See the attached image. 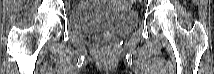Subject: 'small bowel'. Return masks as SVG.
<instances>
[{"mask_svg": "<svg viewBox=\"0 0 214 74\" xmlns=\"http://www.w3.org/2000/svg\"><path fill=\"white\" fill-rule=\"evenodd\" d=\"M123 4H127L126 2H122Z\"/></svg>", "mask_w": 214, "mask_h": 74, "instance_id": "small-bowel-1", "label": "small bowel"}]
</instances>
